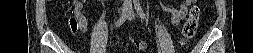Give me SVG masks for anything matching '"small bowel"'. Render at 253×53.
Listing matches in <instances>:
<instances>
[{"label":"small bowel","mask_w":253,"mask_h":53,"mask_svg":"<svg viewBox=\"0 0 253 53\" xmlns=\"http://www.w3.org/2000/svg\"><path fill=\"white\" fill-rule=\"evenodd\" d=\"M192 0H185L181 4L179 8H172V7H164V10L171 15L173 25H178L180 21L185 17L187 8L193 3ZM76 6L83 8L80 2L75 3ZM80 25L79 31L80 33H85L87 30V19L84 15L79 17Z\"/></svg>","instance_id":"c3829d8e"}]
</instances>
